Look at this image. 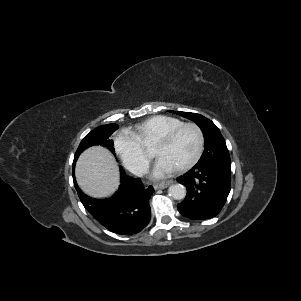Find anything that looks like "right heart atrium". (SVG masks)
<instances>
[{
    "instance_id": "d8ad5b80",
    "label": "right heart atrium",
    "mask_w": 301,
    "mask_h": 301,
    "mask_svg": "<svg viewBox=\"0 0 301 301\" xmlns=\"http://www.w3.org/2000/svg\"><path fill=\"white\" fill-rule=\"evenodd\" d=\"M114 147L123 165L135 174H143L150 163L143 144L128 130L119 132Z\"/></svg>"
}]
</instances>
